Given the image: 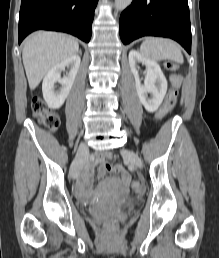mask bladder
<instances>
[{"label":"bladder","instance_id":"1","mask_svg":"<svg viewBox=\"0 0 219 258\" xmlns=\"http://www.w3.org/2000/svg\"><path fill=\"white\" fill-rule=\"evenodd\" d=\"M137 205V200L132 197L125 198L121 203L120 207L123 209H133Z\"/></svg>","mask_w":219,"mask_h":258}]
</instances>
